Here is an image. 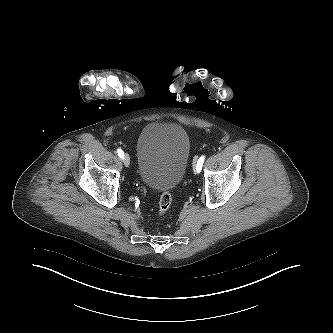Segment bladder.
Masks as SVG:
<instances>
[{
	"label": "bladder",
	"mask_w": 333,
	"mask_h": 333,
	"mask_svg": "<svg viewBox=\"0 0 333 333\" xmlns=\"http://www.w3.org/2000/svg\"><path fill=\"white\" fill-rule=\"evenodd\" d=\"M190 138L174 123H153L145 127L137 141V172L142 183L156 191L177 187L184 178Z\"/></svg>",
	"instance_id": "bladder-1"
}]
</instances>
